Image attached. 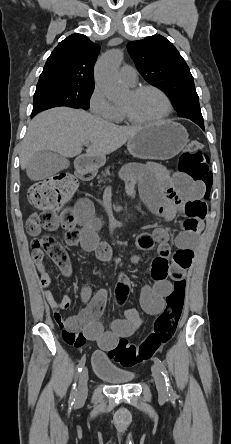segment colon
I'll list each match as a JSON object with an SVG mask.
<instances>
[{
    "mask_svg": "<svg viewBox=\"0 0 231 444\" xmlns=\"http://www.w3.org/2000/svg\"><path fill=\"white\" fill-rule=\"evenodd\" d=\"M179 172L194 182L209 186L212 173L209 170V158L203 146L197 140H191L182 153ZM76 188L74 179L68 175H56L33 184L28 193L30 203L38 209L27 220L26 230L32 236L42 231H53L60 227L62 220H71L70 210L61 209L72 196ZM188 219L184 222L186 231L196 232L199 219L206 213L204 202H193L186 208ZM34 253H46L61 269L69 270V257L61 244L50 235H43L33 242ZM186 283L184 279L175 280L173 289L167 297V307L154 322L153 331L141 342L134 344L122 339L109 350L112 360L123 367H132L146 362L154 353L165 345L175 334L185 299Z\"/></svg>",
    "mask_w": 231,
    "mask_h": 444,
    "instance_id": "obj_1",
    "label": "colon"
}]
</instances>
